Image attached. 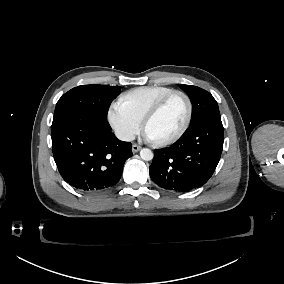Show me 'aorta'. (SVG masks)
<instances>
[{"instance_id":"aorta-1","label":"aorta","mask_w":284,"mask_h":284,"mask_svg":"<svg viewBox=\"0 0 284 284\" xmlns=\"http://www.w3.org/2000/svg\"><path fill=\"white\" fill-rule=\"evenodd\" d=\"M140 156L145 161H150L154 157L153 152L150 149H148V148H143L140 151Z\"/></svg>"}]
</instances>
